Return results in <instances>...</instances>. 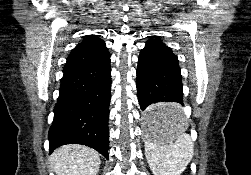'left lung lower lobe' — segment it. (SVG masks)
<instances>
[{
  "label": "left lung lower lobe",
  "mask_w": 251,
  "mask_h": 175,
  "mask_svg": "<svg viewBox=\"0 0 251 175\" xmlns=\"http://www.w3.org/2000/svg\"><path fill=\"white\" fill-rule=\"evenodd\" d=\"M136 85L144 123L164 124L182 116L183 85L178 58L158 37L148 40L140 52Z\"/></svg>",
  "instance_id": "left-lung-lower-lobe-1"
}]
</instances>
